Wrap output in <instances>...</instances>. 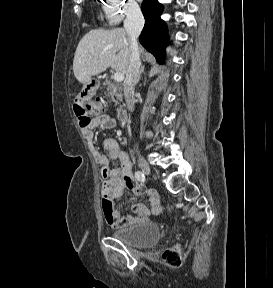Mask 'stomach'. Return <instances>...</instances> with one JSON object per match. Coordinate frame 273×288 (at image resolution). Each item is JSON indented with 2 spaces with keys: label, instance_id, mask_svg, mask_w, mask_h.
I'll return each instance as SVG.
<instances>
[{
  "label": "stomach",
  "instance_id": "0dacf381",
  "mask_svg": "<svg viewBox=\"0 0 273 288\" xmlns=\"http://www.w3.org/2000/svg\"><path fill=\"white\" fill-rule=\"evenodd\" d=\"M86 87L90 88V91L91 92H96V90L98 89L99 87V81L95 80V79H91Z\"/></svg>",
  "mask_w": 273,
  "mask_h": 288
}]
</instances>
